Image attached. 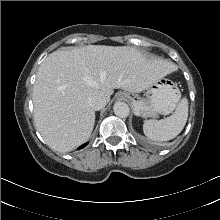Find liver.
Returning a JSON list of instances; mask_svg holds the SVG:
<instances>
[{"label":"liver","instance_id":"liver-1","mask_svg":"<svg viewBox=\"0 0 220 220\" xmlns=\"http://www.w3.org/2000/svg\"><path fill=\"white\" fill-rule=\"evenodd\" d=\"M174 71L171 62L148 58L127 46L88 45L57 50L40 65L33 87L34 121L54 150L68 152L86 142L95 111L88 98L114 89L141 92Z\"/></svg>","mask_w":220,"mask_h":220}]
</instances>
